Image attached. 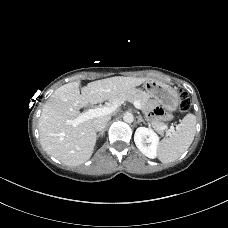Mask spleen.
<instances>
[{
  "label": "spleen",
  "mask_w": 228,
  "mask_h": 228,
  "mask_svg": "<svg viewBox=\"0 0 228 228\" xmlns=\"http://www.w3.org/2000/svg\"><path fill=\"white\" fill-rule=\"evenodd\" d=\"M196 133V117L187 114L169 137L164 138L158 148V159L163 164L177 160L192 144Z\"/></svg>",
  "instance_id": "3e777b00"
}]
</instances>
